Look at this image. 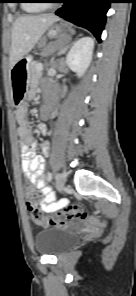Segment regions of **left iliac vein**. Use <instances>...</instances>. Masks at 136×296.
<instances>
[{
  "label": "left iliac vein",
  "instance_id": "obj_1",
  "mask_svg": "<svg viewBox=\"0 0 136 296\" xmlns=\"http://www.w3.org/2000/svg\"><path fill=\"white\" fill-rule=\"evenodd\" d=\"M65 187V176L62 173L56 174V188L59 192H62Z\"/></svg>",
  "mask_w": 136,
  "mask_h": 296
}]
</instances>
